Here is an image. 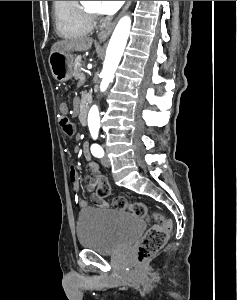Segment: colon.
<instances>
[{"mask_svg":"<svg viewBox=\"0 0 237 300\" xmlns=\"http://www.w3.org/2000/svg\"><path fill=\"white\" fill-rule=\"evenodd\" d=\"M59 126L64 135L72 137L75 128L70 119L62 114L59 117ZM111 194L109 182L104 177H98L96 180L95 195L98 198H106ZM113 206L118 210L129 211L140 218H146L148 215L147 206L143 202H129L125 197L118 196L113 200ZM171 232V221L159 214L154 215V223L147 230L140 240L136 259L143 263L156 255L165 245Z\"/></svg>","mask_w":237,"mask_h":300,"instance_id":"colon-1","label":"colon"}]
</instances>
